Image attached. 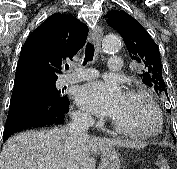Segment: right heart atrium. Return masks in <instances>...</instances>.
<instances>
[{
  "label": "right heart atrium",
  "instance_id": "right-heart-atrium-1",
  "mask_svg": "<svg viewBox=\"0 0 177 169\" xmlns=\"http://www.w3.org/2000/svg\"><path fill=\"white\" fill-rule=\"evenodd\" d=\"M74 119L78 122H86V123L92 122V118L88 114L83 112H76L74 114Z\"/></svg>",
  "mask_w": 177,
  "mask_h": 169
}]
</instances>
